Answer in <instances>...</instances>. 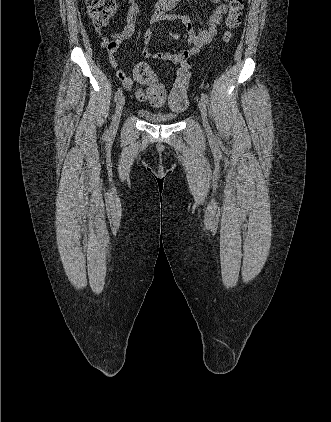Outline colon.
I'll list each match as a JSON object with an SVG mask.
<instances>
[{
	"label": "colon",
	"mask_w": 331,
	"mask_h": 422,
	"mask_svg": "<svg viewBox=\"0 0 331 422\" xmlns=\"http://www.w3.org/2000/svg\"><path fill=\"white\" fill-rule=\"evenodd\" d=\"M229 10L225 21L227 31L224 39L229 41L231 31L236 29L241 22L244 0H228ZM88 16L97 27H104L118 8L117 0H86ZM133 75L146 87L145 92L140 91L138 96H147L150 101L164 102L166 97L165 88L156 81L153 70L145 63H137L133 69ZM191 70L187 61L181 65L168 97V106L173 112H182L188 106L187 90L190 84Z\"/></svg>",
	"instance_id": "obj_1"
}]
</instances>
